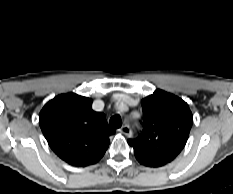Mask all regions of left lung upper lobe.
<instances>
[{"label": "left lung upper lobe", "instance_id": "1", "mask_svg": "<svg viewBox=\"0 0 233 194\" xmlns=\"http://www.w3.org/2000/svg\"><path fill=\"white\" fill-rule=\"evenodd\" d=\"M143 129L128 140L136 159L165 165L184 148L193 123L188 104L181 98L157 89L141 101Z\"/></svg>", "mask_w": 233, "mask_h": 194}]
</instances>
